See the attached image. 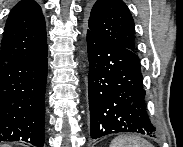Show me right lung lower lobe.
I'll return each instance as SVG.
<instances>
[{
    "instance_id": "right-lung-lower-lobe-1",
    "label": "right lung lower lobe",
    "mask_w": 183,
    "mask_h": 147,
    "mask_svg": "<svg viewBox=\"0 0 183 147\" xmlns=\"http://www.w3.org/2000/svg\"><path fill=\"white\" fill-rule=\"evenodd\" d=\"M47 50L0 68V141L44 144Z\"/></svg>"
}]
</instances>
